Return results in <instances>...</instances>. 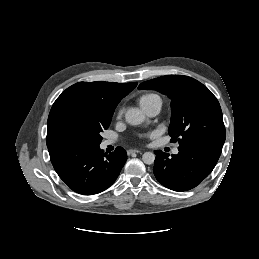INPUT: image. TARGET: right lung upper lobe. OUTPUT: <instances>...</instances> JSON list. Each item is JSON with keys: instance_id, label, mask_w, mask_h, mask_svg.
<instances>
[{"instance_id": "cb5924a9", "label": "right lung upper lobe", "mask_w": 259, "mask_h": 259, "mask_svg": "<svg viewBox=\"0 0 259 259\" xmlns=\"http://www.w3.org/2000/svg\"><path fill=\"white\" fill-rule=\"evenodd\" d=\"M137 83L78 82L67 88L54 102L48 117L46 143H54V127L60 113L70 109L82 110L98 116H112L117 104Z\"/></svg>"}]
</instances>
